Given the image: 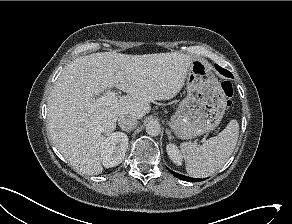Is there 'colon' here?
I'll list each match as a JSON object with an SVG mask.
<instances>
[{
  "instance_id": "obj_1",
  "label": "colon",
  "mask_w": 292,
  "mask_h": 224,
  "mask_svg": "<svg viewBox=\"0 0 292 224\" xmlns=\"http://www.w3.org/2000/svg\"><path fill=\"white\" fill-rule=\"evenodd\" d=\"M221 88H222L224 95L227 98L228 105H231V98L233 96V86H232L231 82L223 81L221 83Z\"/></svg>"
}]
</instances>
